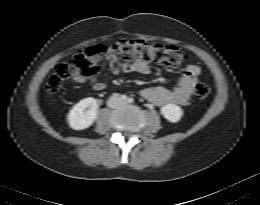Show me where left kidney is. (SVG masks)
Instances as JSON below:
<instances>
[{"label":"left kidney","mask_w":260,"mask_h":205,"mask_svg":"<svg viewBox=\"0 0 260 205\" xmlns=\"http://www.w3.org/2000/svg\"><path fill=\"white\" fill-rule=\"evenodd\" d=\"M161 113L165 119L172 123L178 122L183 116V110L175 104H166L161 107Z\"/></svg>","instance_id":"left-kidney-1"}]
</instances>
